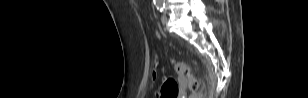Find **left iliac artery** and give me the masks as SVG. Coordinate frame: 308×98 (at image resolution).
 Instances as JSON below:
<instances>
[{
  "label": "left iliac artery",
  "instance_id": "1",
  "mask_svg": "<svg viewBox=\"0 0 308 98\" xmlns=\"http://www.w3.org/2000/svg\"><path fill=\"white\" fill-rule=\"evenodd\" d=\"M164 8H165V5H164L162 2H160V3L157 4V9H158L160 12H162V11L164 10Z\"/></svg>",
  "mask_w": 308,
  "mask_h": 98
}]
</instances>
